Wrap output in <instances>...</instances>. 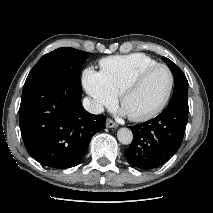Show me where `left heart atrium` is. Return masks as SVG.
Segmentation results:
<instances>
[{
	"label": "left heart atrium",
	"mask_w": 213,
	"mask_h": 213,
	"mask_svg": "<svg viewBox=\"0 0 213 213\" xmlns=\"http://www.w3.org/2000/svg\"><path fill=\"white\" fill-rule=\"evenodd\" d=\"M121 113H122V114H126V112H125V110H124V109H122Z\"/></svg>",
	"instance_id": "obj_1"
}]
</instances>
